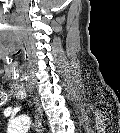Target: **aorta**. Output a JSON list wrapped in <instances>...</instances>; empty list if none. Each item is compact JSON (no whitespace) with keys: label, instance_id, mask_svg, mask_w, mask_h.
<instances>
[{"label":"aorta","instance_id":"obj_1","mask_svg":"<svg viewBox=\"0 0 120 133\" xmlns=\"http://www.w3.org/2000/svg\"><path fill=\"white\" fill-rule=\"evenodd\" d=\"M30 127V119L28 117L22 116L13 120L8 126V130L11 133H23L27 131Z\"/></svg>","mask_w":120,"mask_h":133}]
</instances>
